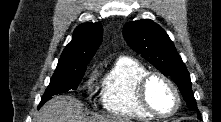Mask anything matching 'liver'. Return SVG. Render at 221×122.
Wrapping results in <instances>:
<instances>
[{"label":"liver","mask_w":221,"mask_h":122,"mask_svg":"<svg viewBox=\"0 0 221 122\" xmlns=\"http://www.w3.org/2000/svg\"><path fill=\"white\" fill-rule=\"evenodd\" d=\"M34 122H130L121 117H86L83 104L71 96H56L46 103Z\"/></svg>","instance_id":"obj_1"}]
</instances>
